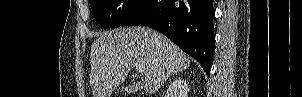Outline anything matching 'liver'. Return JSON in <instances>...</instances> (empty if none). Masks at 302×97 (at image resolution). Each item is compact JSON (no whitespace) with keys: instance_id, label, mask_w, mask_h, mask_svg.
Instances as JSON below:
<instances>
[{"instance_id":"obj_1","label":"liver","mask_w":302,"mask_h":97,"mask_svg":"<svg viewBox=\"0 0 302 97\" xmlns=\"http://www.w3.org/2000/svg\"><path fill=\"white\" fill-rule=\"evenodd\" d=\"M139 64L145 66L141 86L153 94L170 75L188 69L190 59L167 37L149 28L129 27L100 33L90 53L94 97H110Z\"/></svg>"}]
</instances>
